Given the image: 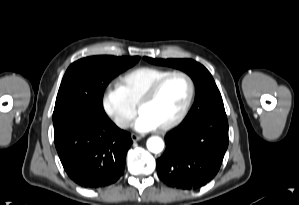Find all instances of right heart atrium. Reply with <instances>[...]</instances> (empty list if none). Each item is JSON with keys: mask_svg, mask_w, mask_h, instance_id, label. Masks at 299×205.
Segmentation results:
<instances>
[{"mask_svg": "<svg viewBox=\"0 0 299 205\" xmlns=\"http://www.w3.org/2000/svg\"><path fill=\"white\" fill-rule=\"evenodd\" d=\"M101 105L105 114L120 129L127 128L136 114L135 106L127 100L117 85L105 88Z\"/></svg>", "mask_w": 299, "mask_h": 205, "instance_id": "obj_1", "label": "right heart atrium"}]
</instances>
